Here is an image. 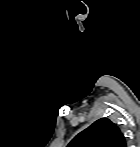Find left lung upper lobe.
<instances>
[{
	"label": "left lung upper lobe",
	"instance_id": "5c2ea615",
	"mask_svg": "<svg viewBox=\"0 0 140 147\" xmlns=\"http://www.w3.org/2000/svg\"><path fill=\"white\" fill-rule=\"evenodd\" d=\"M68 147H127V143L115 123L107 118H101L80 132Z\"/></svg>",
	"mask_w": 140,
	"mask_h": 147
}]
</instances>
